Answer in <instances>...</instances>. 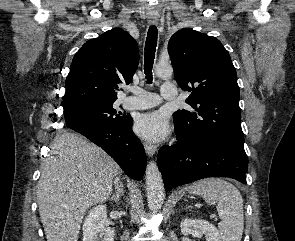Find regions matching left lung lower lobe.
<instances>
[{
	"label": "left lung lower lobe",
	"instance_id": "left-lung-lower-lobe-1",
	"mask_svg": "<svg viewBox=\"0 0 295 241\" xmlns=\"http://www.w3.org/2000/svg\"><path fill=\"white\" fill-rule=\"evenodd\" d=\"M177 140V145L164 146L158 152L166 191L206 177H230L246 184L244 147L214 139L188 143L178 134Z\"/></svg>",
	"mask_w": 295,
	"mask_h": 241
}]
</instances>
